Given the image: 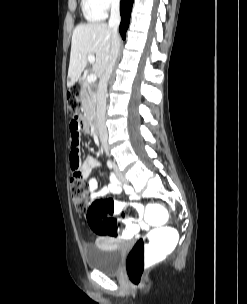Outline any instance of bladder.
I'll return each mask as SVG.
<instances>
[{
  "label": "bladder",
  "instance_id": "obj_1",
  "mask_svg": "<svg viewBox=\"0 0 247 304\" xmlns=\"http://www.w3.org/2000/svg\"><path fill=\"white\" fill-rule=\"evenodd\" d=\"M85 261L90 270L104 273H115L119 270L123 255L124 244L111 239L102 238L84 249Z\"/></svg>",
  "mask_w": 247,
  "mask_h": 304
}]
</instances>
